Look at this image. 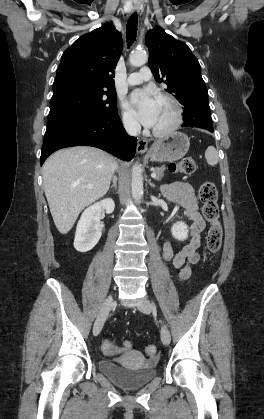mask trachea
Returning a JSON list of instances; mask_svg holds the SVG:
<instances>
[{
	"mask_svg": "<svg viewBox=\"0 0 264 419\" xmlns=\"http://www.w3.org/2000/svg\"><path fill=\"white\" fill-rule=\"evenodd\" d=\"M137 26H138V17L134 13L128 20L126 26V38H127V45L131 46V44L135 41L136 34H137Z\"/></svg>",
	"mask_w": 264,
	"mask_h": 419,
	"instance_id": "3493384b",
	"label": "trachea"
}]
</instances>
